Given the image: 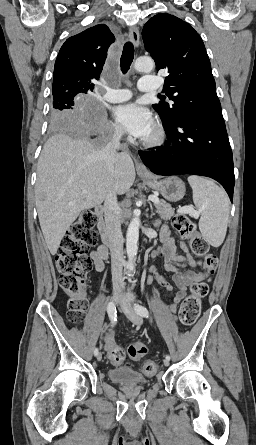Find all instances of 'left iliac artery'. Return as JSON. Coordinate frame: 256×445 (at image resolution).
<instances>
[{
	"instance_id": "left-iliac-artery-1",
	"label": "left iliac artery",
	"mask_w": 256,
	"mask_h": 445,
	"mask_svg": "<svg viewBox=\"0 0 256 445\" xmlns=\"http://www.w3.org/2000/svg\"><path fill=\"white\" fill-rule=\"evenodd\" d=\"M135 310L140 316L145 317V318L149 317V312L146 307L137 304V305H135ZM166 359L170 360V356L166 355Z\"/></svg>"
}]
</instances>
